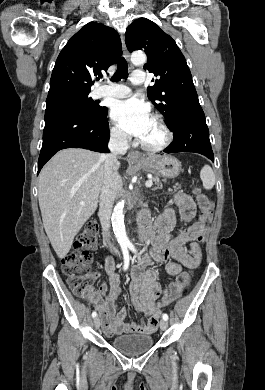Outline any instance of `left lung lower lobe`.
Instances as JSON below:
<instances>
[{
  "instance_id": "left-lung-lower-lobe-1",
  "label": "left lung lower lobe",
  "mask_w": 265,
  "mask_h": 390,
  "mask_svg": "<svg viewBox=\"0 0 265 390\" xmlns=\"http://www.w3.org/2000/svg\"><path fill=\"white\" fill-rule=\"evenodd\" d=\"M173 142L164 149L165 153L194 152L214 161L209 140V130L201 106L186 110L171 128Z\"/></svg>"
}]
</instances>
